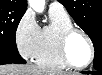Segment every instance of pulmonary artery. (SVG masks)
<instances>
[{
    "label": "pulmonary artery",
    "instance_id": "obj_1",
    "mask_svg": "<svg viewBox=\"0 0 102 75\" xmlns=\"http://www.w3.org/2000/svg\"><path fill=\"white\" fill-rule=\"evenodd\" d=\"M49 8L52 9V10L65 11L63 5L58 1L51 2L50 5H49Z\"/></svg>",
    "mask_w": 102,
    "mask_h": 75
}]
</instances>
